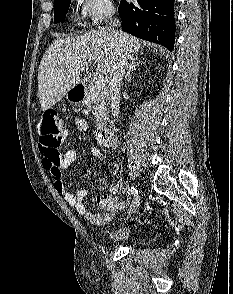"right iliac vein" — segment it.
<instances>
[{
  "mask_svg": "<svg viewBox=\"0 0 233 294\" xmlns=\"http://www.w3.org/2000/svg\"><path fill=\"white\" fill-rule=\"evenodd\" d=\"M139 205H140V198L138 196V197L135 198V200H134V202H133V204H132V206H131V208L129 210V214H134L137 211Z\"/></svg>",
  "mask_w": 233,
  "mask_h": 294,
  "instance_id": "1",
  "label": "right iliac vein"
}]
</instances>
